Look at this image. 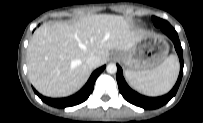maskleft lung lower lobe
Listing matches in <instances>:
<instances>
[{
  "label": "left lung lower lobe",
  "mask_w": 203,
  "mask_h": 123,
  "mask_svg": "<svg viewBox=\"0 0 203 123\" xmlns=\"http://www.w3.org/2000/svg\"><path fill=\"white\" fill-rule=\"evenodd\" d=\"M159 27L173 41L176 52L179 56V61H180L179 77L177 79L175 86L169 93L160 97H147V96L140 95L139 93L133 91L127 85V83L123 78L122 69L119 65H117V83H118V88L120 93L122 94V96L126 101L144 109H156L168 103L175 96L179 88V85L181 83L182 75H183L184 61H183L182 47L178 38V34L167 21L162 22Z\"/></svg>",
  "instance_id": "obj_1"
}]
</instances>
